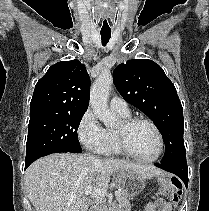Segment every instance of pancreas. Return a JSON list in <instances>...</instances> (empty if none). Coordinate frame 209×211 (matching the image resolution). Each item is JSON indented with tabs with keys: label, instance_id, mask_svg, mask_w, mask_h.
Wrapping results in <instances>:
<instances>
[{
	"label": "pancreas",
	"instance_id": "obj_1",
	"mask_svg": "<svg viewBox=\"0 0 209 211\" xmlns=\"http://www.w3.org/2000/svg\"><path fill=\"white\" fill-rule=\"evenodd\" d=\"M117 200L120 204V208L118 209V211L131 210V204L129 203L127 196L123 191L120 192V197H118ZM91 211H108L105 198H99L95 202V205Z\"/></svg>",
	"mask_w": 209,
	"mask_h": 211
}]
</instances>
